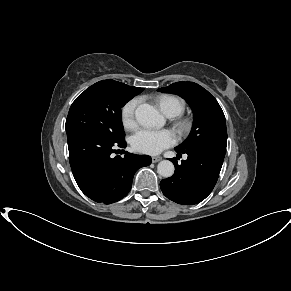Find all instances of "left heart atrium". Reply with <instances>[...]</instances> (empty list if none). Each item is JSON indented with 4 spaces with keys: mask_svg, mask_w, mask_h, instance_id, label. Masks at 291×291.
Returning <instances> with one entry per match:
<instances>
[{
    "mask_svg": "<svg viewBox=\"0 0 291 291\" xmlns=\"http://www.w3.org/2000/svg\"><path fill=\"white\" fill-rule=\"evenodd\" d=\"M176 143V136L170 130L140 129L131 137L134 150L146 154H159Z\"/></svg>",
    "mask_w": 291,
    "mask_h": 291,
    "instance_id": "left-heart-atrium-1",
    "label": "left heart atrium"
}]
</instances>
